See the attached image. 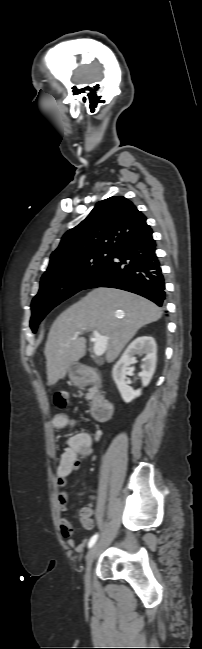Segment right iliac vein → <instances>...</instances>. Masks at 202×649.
I'll use <instances>...</instances> for the list:
<instances>
[{"label":"right iliac vein","mask_w":202,"mask_h":649,"mask_svg":"<svg viewBox=\"0 0 202 649\" xmlns=\"http://www.w3.org/2000/svg\"><path fill=\"white\" fill-rule=\"evenodd\" d=\"M98 550H99V543H96L91 547L86 557V570L84 575V582H85L86 589H90L91 568L97 556Z\"/></svg>","instance_id":"right-iliac-vein-1"}]
</instances>
